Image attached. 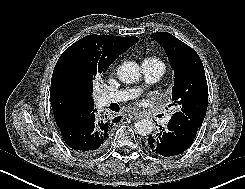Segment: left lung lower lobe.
<instances>
[{
  "label": "left lung lower lobe",
  "instance_id": "1",
  "mask_svg": "<svg viewBox=\"0 0 245 189\" xmlns=\"http://www.w3.org/2000/svg\"><path fill=\"white\" fill-rule=\"evenodd\" d=\"M198 128L191 122L182 123L176 118L170 119L167 129L149 136L148 146L152 152L165 157L179 155L191 146Z\"/></svg>",
  "mask_w": 245,
  "mask_h": 189
}]
</instances>
